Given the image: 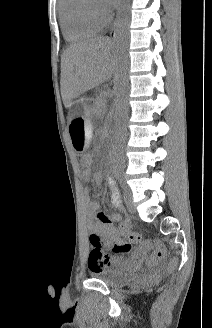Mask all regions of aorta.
I'll return each instance as SVG.
<instances>
[{"label":"aorta","instance_id":"1","mask_svg":"<svg viewBox=\"0 0 212 328\" xmlns=\"http://www.w3.org/2000/svg\"><path fill=\"white\" fill-rule=\"evenodd\" d=\"M129 26H130V0H125L122 20L116 40L117 60L114 77L115 91V120L116 142L118 149L113 153L111 168L112 180H121L124 175L122 166L123 157L121 147L126 137V124L128 119V70H129Z\"/></svg>","mask_w":212,"mask_h":328}]
</instances>
